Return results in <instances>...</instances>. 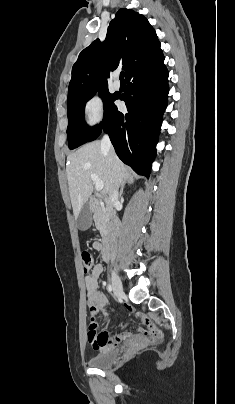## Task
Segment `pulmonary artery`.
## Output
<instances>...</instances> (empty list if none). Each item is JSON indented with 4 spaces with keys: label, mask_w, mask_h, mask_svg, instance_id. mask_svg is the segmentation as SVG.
Returning a JSON list of instances; mask_svg holds the SVG:
<instances>
[{
    "label": "pulmonary artery",
    "mask_w": 235,
    "mask_h": 404,
    "mask_svg": "<svg viewBox=\"0 0 235 404\" xmlns=\"http://www.w3.org/2000/svg\"><path fill=\"white\" fill-rule=\"evenodd\" d=\"M113 87L115 90H119L121 85H120V81L118 80V74L115 73L114 75V82H113Z\"/></svg>",
    "instance_id": "pulmonary-artery-1"
}]
</instances>
